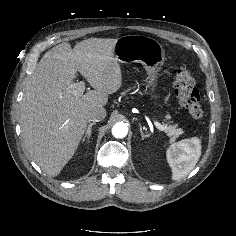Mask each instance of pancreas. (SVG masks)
Instances as JSON below:
<instances>
[{
	"label": "pancreas",
	"instance_id": "cf45deb5",
	"mask_svg": "<svg viewBox=\"0 0 236 236\" xmlns=\"http://www.w3.org/2000/svg\"><path fill=\"white\" fill-rule=\"evenodd\" d=\"M166 133L171 136L172 140H174L176 137L181 135L183 133V130L181 128H176L173 126H165Z\"/></svg>",
	"mask_w": 236,
	"mask_h": 236
}]
</instances>
